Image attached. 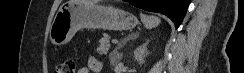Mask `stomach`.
<instances>
[{
    "label": "stomach",
    "instance_id": "1",
    "mask_svg": "<svg viewBox=\"0 0 244 73\" xmlns=\"http://www.w3.org/2000/svg\"><path fill=\"white\" fill-rule=\"evenodd\" d=\"M138 19L121 9L83 0H70L59 9L50 27L49 39L55 46L67 44L82 28L109 31L131 30Z\"/></svg>",
    "mask_w": 244,
    "mask_h": 73
}]
</instances>
